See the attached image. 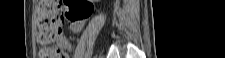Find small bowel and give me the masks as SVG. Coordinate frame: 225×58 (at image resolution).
<instances>
[{
	"instance_id": "1",
	"label": "small bowel",
	"mask_w": 225,
	"mask_h": 58,
	"mask_svg": "<svg viewBox=\"0 0 225 58\" xmlns=\"http://www.w3.org/2000/svg\"><path fill=\"white\" fill-rule=\"evenodd\" d=\"M82 27H83V20H81V21H72L70 23L69 29H70L71 32L77 33V32H79L82 29ZM59 44L62 46V48L64 50L62 58H69V55H68V53L66 51H69L71 49V44L68 41V39L63 37L59 41Z\"/></svg>"
}]
</instances>
